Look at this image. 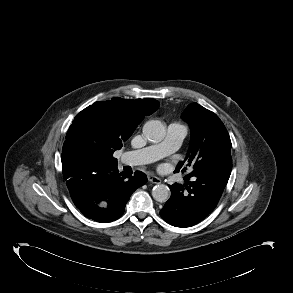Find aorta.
Wrapping results in <instances>:
<instances>
[{
    "mask_svg": "<svg viewBox=\"0 0 293 293\" xmlns=\"http://www.w3.org/2000/svg\"><path fill=\"white\" fill-rule=\"evenodd\" d=\"M144 136L154 143L161 142L165 135L166 129L164 124L159 120H150L143 126ZM152 196L158 202H166L170 196V190L168 186L159 184L153 187Z\"/></svg>",
    "mask_w": 293,
    "mask_h": 293,
    "instance_id": "obj_1",
    "label": "aorta"
}]
</instances>
